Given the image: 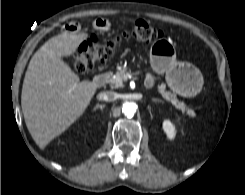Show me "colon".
I'll return each instance as SVG.
<instances>
[{
    "label": "colon",
    "instance_id": "colon-1",
    "mask_svg": "<svg viewBox=\"0 0 245 195\" xmlns=\"http://www.w3.org/2000/svg\"><path fill=\"white\" fill-rule=\"evenodd\" d=\"M161 36V32L144 20H137L131 31L123 32L117 38L101 42L97 37L82 43L73 55V69L80 74L86 73L97 65L103 64L112 54L117 43L134 37L140 44L154 42Z\"/></svg>",
    "mask_w": 245,
    "mask_h": 195
}]
</instances>
